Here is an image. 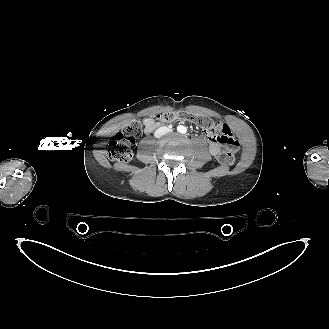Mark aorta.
Instances as JSON below:
<instances>
[{
  "mask_svg": "<svg viewBox=\"0 0 329 329\" xmlns=\"http://www.w3.org/2000/svg\"><path fill=\"white\" fill-rule=\"evenodd\" d=\"M182 133H184V132H186V129L184 128V130L183 131H181Z\"/></svg>",
  "mask_w": 329,
  "mask_h": 329,
  "instance_id": "762f6f07",
  "label": "aorta"
}]
</instances>
